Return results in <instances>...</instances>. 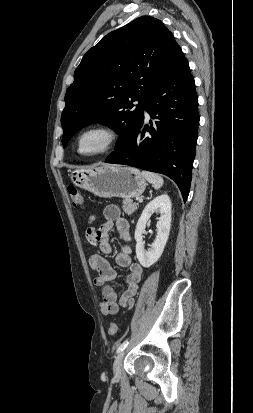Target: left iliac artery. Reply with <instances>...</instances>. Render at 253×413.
I'll list each match as a JSON object with an SVG mask.
<instances>
[{
  "label": "left iliac artery",
  "instance_id": "left-iliac-artery-1",
  "mask_svg": "<svg viewBox=\"0 0 253 413\" xmlns=\"http://www.w3.org/2000/svg\"><path fill=\"white\" fill-rule=\"evenodd\" d=\"M127 344H128V339H126V340L118 347L117 353H119L120 351H123V350L127 347Z\"/></svg>",
  "mask_w": 253,
  "mask_h": 413
}]
</instances>
